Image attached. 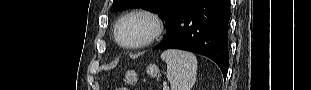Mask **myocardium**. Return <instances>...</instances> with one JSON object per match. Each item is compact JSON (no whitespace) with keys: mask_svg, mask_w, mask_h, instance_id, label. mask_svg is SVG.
<instances>
[{"mask_svg":"<svg viewBox=\"0 0 311 90\" xmlns=\"http://www.w3.org/2000/svg\"><path fill=\"white\" fill-rule=\"evenodd\" d=\"M131 18H141V19L146 20L150 25V31L141 40L126 43V42H123L120 40L119 29H120V26L126 20L131 19ZM163 30H164L163 22L157 14H155L151 11H147V10H133V11H130V12L122 15L117 20L115 27H114V39H115L116 43L119 46H121L122 48L138 49V48L148 46V45L152 44L153 42H155L161 36Z\"/></svg>","mask_w":311,"mask_h":90,"instance_id":"myocardium-1","label":"myocardium"}]
</instances>
